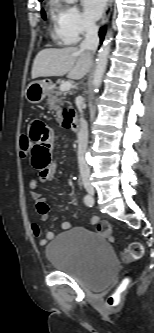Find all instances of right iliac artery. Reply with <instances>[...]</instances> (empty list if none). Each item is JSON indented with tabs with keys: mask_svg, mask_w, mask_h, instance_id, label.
<instances>
[{
	"mask_svg": "<svg viewBox=\"0 0 154 333\" xmlns=\"http://www.w3.org/2000/svg\"><path fill=\"white\" fill-rule=\"evenodd\" d=\"M84 202L87 206L92 207L94 204V199L90 195H85Z\"/></svg>",
	"mask_w": 154,
	"mask_h": 333,
	"instance_id": "1",
	"label": "right iliac artery"
}]
</instances>
